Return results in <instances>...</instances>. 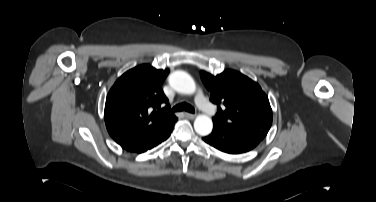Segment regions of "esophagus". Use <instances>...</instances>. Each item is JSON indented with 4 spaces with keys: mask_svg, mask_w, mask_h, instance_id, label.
<instances>
[{
    "mask_svg": "<svg viewBox=\"0 0 376 202\" xmlns=\"http://www.w3.org/2000/svg\"><path fill=\"white\" fill-rule=\"evenodd\" d=\"M185 116H186L187 118H189V119H194V118L196 117L195 114L188 113V112L185 113Z\"/></svg>",
    "mask_w": 376,
    "mask_h": 202,
    "instance_id": "34e87169",
    "label": "esophagus"
}]
</instances>
